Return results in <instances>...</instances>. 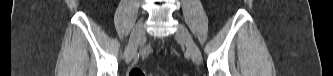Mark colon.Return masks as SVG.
<instances>
[{
  "mask_svg": "<svg viewBox=\"0 0 333 76\" xmlns=\"http://www.w3.org/2000/svg\"><path fill=\"white\" fill-rule=\"evenodd\" d=\"M128 76H145V72L140 69H131Z\"/></svg>",
  "mask_w": 333,
  "mask_h": 76,
  "instance_id": "1",
  "label": "colon"
}]
</instances>
